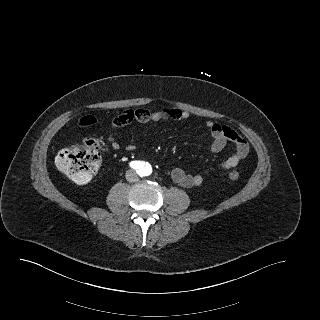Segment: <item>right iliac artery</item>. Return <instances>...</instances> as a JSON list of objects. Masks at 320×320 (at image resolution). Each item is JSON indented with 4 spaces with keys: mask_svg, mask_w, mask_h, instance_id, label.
I'll return each mask as SVG.
<instances>
[{
    "mask_svg": "<svg viewBox=\"0 0 320 320\" xmlns=\"http://www.w3.org/2000/svg\"><path fill=\"white\" fill-rule=\"evenodd\" d=\"M130 167L133 168V169H138L141 167L140 163L138 161H132L130 162Z\"/></svg>",
    "mask_w": 320,
    "mask_h": 320,
    "instance_id": "obj_1",
    "label": "right iliac artery"
}]
</instances>
